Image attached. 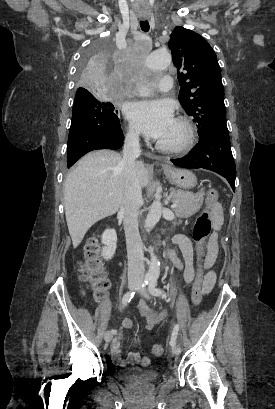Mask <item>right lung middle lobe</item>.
Wrapping results in <instances>:
<instances>
[{
  "label": "right lung middle lobe",
  "instance_id": "1",
  "mask_svg": "<svg viewBox=\"0 0 275 409\" xmlns=\"http://www.w3.org/2000/svg\"><path fill=\"white\" fill-rule=\"evenodd\" d=\"M90 50L80 57L72 122L67 145V164L61 177L67 178L73 164L86 153L97 149H119L124 136L117 115L122 96H106L102 91H120L114 59L119 58L115 36H95ZM89 90V91H88ZM146 165L144 162L141 164Z\"/></svg>",
  "mask_w": 275,
  "mask_h": 409
}]
</instances>
